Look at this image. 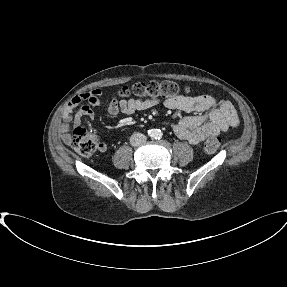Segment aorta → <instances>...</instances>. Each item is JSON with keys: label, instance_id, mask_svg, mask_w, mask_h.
<instances>
[{"label": "aorta", "instance_id": "1", "mask_svg": "<svg viewBox=\"0 0 287 287\" xmlns=\"http://www.w3.org/2000/svg\"><path fill=\"white\" fill-rule=\"evenodd\" d=\"M151 136L157 138V137L161 136V132L158 130H155L151 133Z\"/></svg>", "mask_w": 287, "mask_h": 287}]
</instances>
